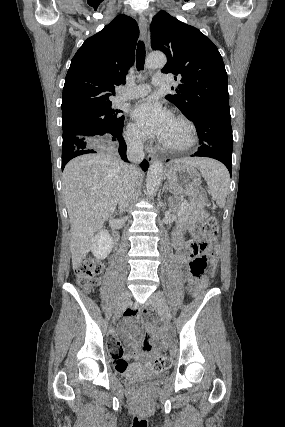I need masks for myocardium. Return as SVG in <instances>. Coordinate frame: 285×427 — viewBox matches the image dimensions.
Instances as JSON below:
<instances>
[{
  "label": "myocardium",
  "mask_w": 285,
  "mask_h": 427,
  "mask_svg": "<svg viewBox=\"0 0 285 427\" xmlns=\"http://www.w3.org/2000/svg\"><path fill=\"white\" fill-rule=\"evenodd\" d=\"M174 119L183 123L185 125V127L187 128L188 134H189L188 141L182 145H173V144H170V143L163 141L162 145L166 149H168L170 151H174V152L187 151V150L191 149L193 146H195L198 142L197 129H196L194 123L190 119H188L187 117H185L183 115H175Z\"/></svg>",
  "instance_id": "obj_1"
}]
</instances>
